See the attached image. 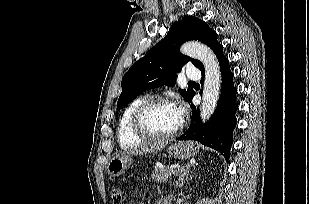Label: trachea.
<instances>
[{
	"mask_svg": "<svg viewBox=\"0 0 309 204\" xmlns=\"http://www.w3.org/2000/svg\"><path fill=\"white\" fill-rule=\"evenodd\" d=\"M196 82L190 81L189 84H195Z\"/></svg>",
	"mask_w": 309,
	"mask_h": 204,
	"instance_id": "1",
	"label": "trachea"
}]
</instances>
